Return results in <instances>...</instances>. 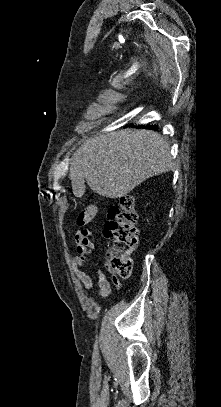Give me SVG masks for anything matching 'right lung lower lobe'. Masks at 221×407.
Here are the masks:
<instances>
[{
    "mask_svg": "<svg viewBox=\"0 0 221 407\" xmlns=\"http://www.w3.org/2000/svg\"><path fill=\"white\" fill-rule=\"evenodd\" d=\"M146 128L156 130V129H157V126H156V125H154V126L152 125V126H148V127H146Z\"/></svg>",
    "mask_w": 221,
    "mask_h": 407,
    "instance_id": "right-lung-lower-lobe-1",
    "label": "right lung lower lobe"
}]
</instances>
